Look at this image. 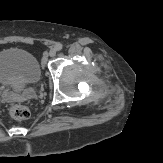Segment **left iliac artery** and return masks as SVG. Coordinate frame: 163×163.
<instances>
[{"label":"left iliac artery","mask_w":163,"mask_h":163,"mask_svg":"<svg viewBox=\"0 0 163 163\" xmlns=\"http://www.w3.org/2000/svg\"><path fill=\"white\" fill-rule=\"evenodd\" d=\"M62 48H63V45H62L61 43H57V44L55 45L56 51H60Z\"/></svg>","instance_id":"44dca946"}]
</instances>
